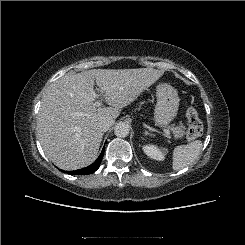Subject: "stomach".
Instances as JSON below:
<instances>
[{
  "mask_svg": "<svg viewBox=\"0 0 245 245\" xmlns=\"http://www.w3.org/2000/svg\"><path fill=\"white\" fill-rule=\"evenodd\" d=\"M157 103L154 110V121L157 126L168 125L177 115L179 97L171 85L161 83L157 86Z\"/></svg>",
  "mask_w": 245,
  "mask_h": 245,
  "instance_id": "1",
  "label": "stomach"
}]
</instances>
